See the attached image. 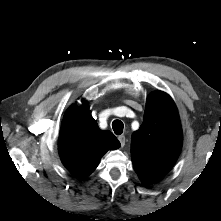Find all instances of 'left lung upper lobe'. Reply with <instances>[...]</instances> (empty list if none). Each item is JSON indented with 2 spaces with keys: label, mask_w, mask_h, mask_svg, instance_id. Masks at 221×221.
I'll return each mask as SVG.
<instances>
[{
  "label": "left lung upper lobe",
  "mask_w": 221,
  "mask_h": 221,
  "mask_svg": "<svg viewBox=\"0 0 221 221\" xmlns=\"http://www.w3.org/2000/svg\"><path fill=\"white\" fill-rule=\"evenodd\" d=\"M182 148V129L177 108L165 92L152 93L144 121L131 137L134 169L144 183L163 177L175 164Z\"/></svg>",
  "instance_id": "obj_1"
}]
</instances>
